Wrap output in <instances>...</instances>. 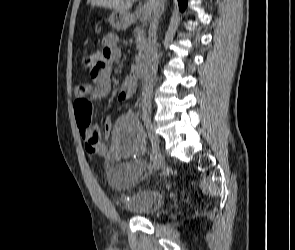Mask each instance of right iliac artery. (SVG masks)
<instances>
[{"instance_id": "obj_1", "label": "right iliac artery", "mask_w": 295, "mask_h": 250, "mask_svg": "<svg viewBox=\"0 0 295 250\" xmlns=\"http://www.w3.org/2000/svg\"><path fill=\"white\" fill-rule=\"evenodd\" d=\"M156 164V157L153 155V153H150V164L149 169H152L155 167Z\"/></svg>"}]
</instances>
